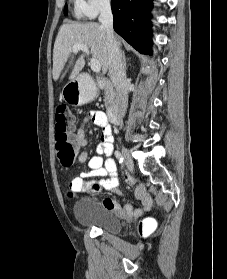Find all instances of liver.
I'll list each match as a JSON object with an SVG mask.
<instances>
[{
    "mask_svg": "<svg viewBox=\"0 0 227 279\" xmlns=\"http://www.w3.org/2000/svg\"><path fill=\"white\" fill-rule=\"evenodd\" d=\"M118 46L121 42L116 38ZM83 44L90 48L94 59L100 62L103 72H107L108 48L106 31L102 25L94 22H68L64 23L58 32L53 49V79L57 81L67 63L72 64L73 46ZM85 55L81 54L74 61L68 79H74L85 66Z\"/></svg>",
    "mask_w": 227,
    "mask_h": 279,
    "instance_id": "obj_1",
    "label": "liver"
}]
</instances>
